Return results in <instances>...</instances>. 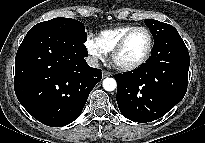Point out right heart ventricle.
<instances>
[{"label":"right heart ventricle","mask_w":205,"mask_h":143,"mask_svg":"<svg viewBox=\"0 0 205 143\" xmlns=\"http://www.w3.org/2000/svg\"><path fill=\"white\" fill-rule=\"evenodd\" d=\"M133 27V25H120L106 29L101 31L95 39L105 54L111 53L122 36Z\"/></svg>","instance_id":"e07e8e85"}]
</instances>
